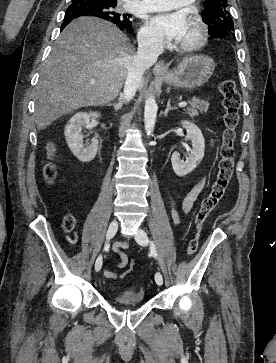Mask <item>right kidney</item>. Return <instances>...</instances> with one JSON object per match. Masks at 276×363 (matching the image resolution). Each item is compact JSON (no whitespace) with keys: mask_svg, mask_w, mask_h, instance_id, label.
I'll return each instance as SVG.
<instances>
[{"mask_svg":"<svg viewBox=\"0 0 276 363\" xmlns=\"http://www.w3.org/2000/svg\"><path fill=\"white\" fill-rule=\"evenodd\" d=\"M98 112H79L71 117L64 129V135L69 149L73 155L81 162L92 161L98 151V140L94 137L90 143L84 145L82 128L91 127L90 119L99 118Z\"/></svg>","mask_w":276,"mask_h":363,"instance_id":"obj_1","label":"right kidney"}]
</instances>
